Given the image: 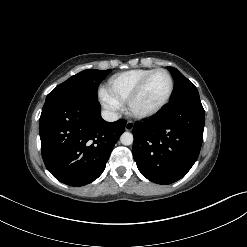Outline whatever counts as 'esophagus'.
Listing matches in <instances>:
<instances>
[{
	"label": "esophagus",
	"instance_id": "1",
	"mask_svg": "<svg viewBox=\"0 0 247 247\" xmlns=\"http://www.w3.org/2000/svg\"><path fill=\"white\" fill-rule=\"evenodd\" d=\"M133 127H134V123H133L132 121H128V122L126 123V125H125V129H126L127 131H131V130L133 129Z\"/></svg>",
	"mask_w": 247,
	"mask_h": 247
}]
</instances>
